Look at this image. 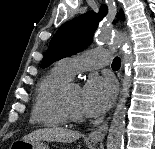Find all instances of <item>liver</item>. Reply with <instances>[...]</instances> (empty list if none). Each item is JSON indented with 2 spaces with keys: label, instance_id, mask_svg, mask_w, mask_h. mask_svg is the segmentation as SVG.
<instances>
[{
  "label": "liver",
  "instance_id": "6515ba94",
  "mask_svg": "<svg viewBox=\"0 0 155 149\" xmlns=\"http://www.w3.org/2000/svg\"><path fill=\"white\" fill-rule=\"evenodd\" d=\"M81 134L78 131L62 128H42L35 130L23 137V140H44L62 143H72L78 140Z\"/></svg>",
  "mask_w": 155,
  "mask_h": 149
}]
</instances>
